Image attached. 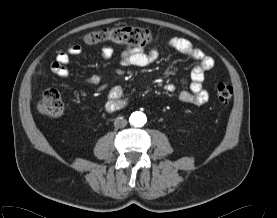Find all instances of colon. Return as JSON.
I'll return each instance as SVG.
<instances>
[{"label": "colon", "instance_id": "5ec220e1", "mask_svg": "<svg viewBox=\"0 0 277 218\" xmlns=\"http://www.w3.org/2000/svg\"><path fill=\"white\" fill-rule=\"evenodd\" d=\"M111 42L133 48H144L152 42L151 33L141 27H119L91 32L86 35L85 42L97 44L100 42ZM216 93L220 101L228 102L233 96L231 85L220 82L216 85ZM38 110L46 115L58 116L63 111V103L56 89H46L38 103Z\"/></svg>", "mask_w": 277, "mask_h": 218}]
</instances>
